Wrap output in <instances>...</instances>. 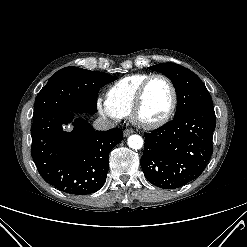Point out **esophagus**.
I'll return each instance as SVG.
<instances>
[{"instance_id":"1","label":"esophagus","mask_w":247,"mask_h":247,"mask_svg":"<svg viewBox=\"0 0 247 247\" xmlns=\"http://www.w3.org/2000/svg\"><path fill=\"white\" fill-rule=\"evenodd\" d=\"M132 133H134V130L133 129H125L124 132H123L124 137H128Z\"/></svg>"}]
</instances>
